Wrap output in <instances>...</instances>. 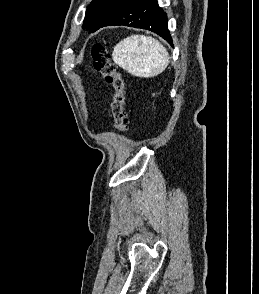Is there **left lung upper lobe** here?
<instances>
[{"label": "left lung upper lobe", "instance_id": "5c2ea615", "mask_svg": "<svg viewBox=\"0 0 259 294\" xmlns=\"http://www.w3.org/2000/svg\"><path fill=\"white\" fill-rule=\"evenodd\" d=\"M127 0H93L86 10L83 28L94 32L100 28L105 19L119 4Z\"/></svg>", "mask_w": 259, "mask_h": 294}]
</instances>
